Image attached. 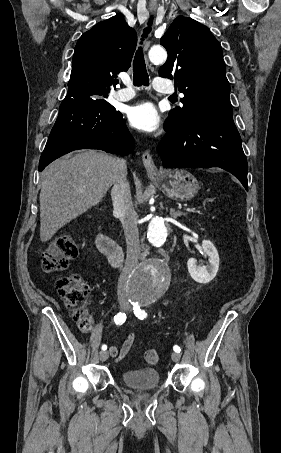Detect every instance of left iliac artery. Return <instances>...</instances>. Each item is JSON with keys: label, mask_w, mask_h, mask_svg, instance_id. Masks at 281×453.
Returning <instances> with one entry per match:
<instances>
[{"label": "left iliac artery", "mask_w": 281, "mask_h": 453, "mask_svg": "<svg viewBox=\"0 0 281 453\" xmlns=\"http://www.w3.org/2000/svg\"><path fill=\"white\" fill-rule=\"evenodd\" d=\"M133 306H134V307H133V309H134V314L136 315V317H138V318L141 319V320H143L144 318H146L147 313H145L144 310L142 311V310L140 309V306H139L138 304H134ZM173 349H174V351H175L176 353H180V351H181L180 347H178L177 345H175V346L173 347Z\"/></svg>", "instance_id": "obj_1"}]
</instances>
